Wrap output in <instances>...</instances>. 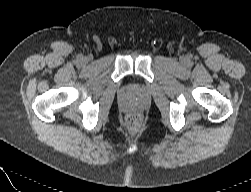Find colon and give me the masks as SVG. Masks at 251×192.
<instances>
[{
	"label": "colon",
	"mask_w": 251,
	"mask_h": 192,
	"mask_svg": "<svg viewBox=\"0 0 251 192\" xmlns=\"http://www.w3.org/2000/svg\"><path fill=\"white\" fill-rule=\"evenodd\" d=\"M128 127L132 130H136L141 123V117L137 113H130L126 118Z\"/></svg>",
	"instance_id": "1"
}]
</instances>
